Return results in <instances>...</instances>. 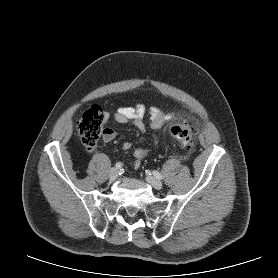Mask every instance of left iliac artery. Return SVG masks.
I'll use <instances>...</instances> for the list:
<instances>
[{
	"mask_svg": "<svg viewBox=\"0 0 278 278\" xmlns=\"http://www.w3.org/2000/svg\"><path fill=\"white\" fill-rule=\"evenodd\" d=\"M153 175H154L156 178H158V179H163L162 174H160V173L157 172V171H153Z\"/></svg>",
	"mask_w": 278,
	"mask_h": 278,
	"instance_id": "left-iliac-artery-1",
	"label": "left iliac artery"
}]
</instances>
